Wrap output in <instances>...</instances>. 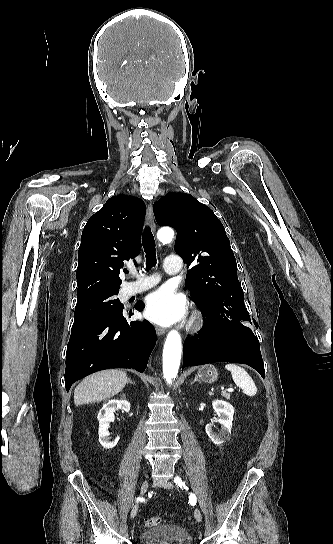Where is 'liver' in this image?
Listing matches in <instances>:
<instances>
[{"instance_id": "liver-1", "label": "liver", "mask_w": 333, "mask_h": 544, "mask_svg": "<svg viewBox=\"0 0 333 544\" xmlns=\"http://www.w3.org/2000/svg\"><path fill=\"white\" fill-rule=\"evenodd\" d=\"M128 383L121 370H104L86 377L74 391L76 406L99 402L118 394Z\"/></svg>"}]
</instances>
